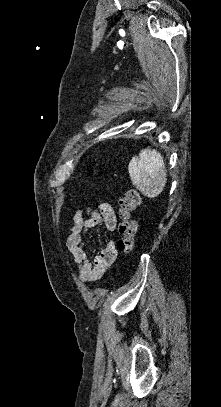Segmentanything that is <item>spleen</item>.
I'll return each instance as SVG.
<instances>
[{
  "mask_svg": "<svg viewBox=\"0 0 221 407\" xmlns=\"http://www.w3.org/2000/svg\"><path fill=\"white\" fill-rule=\"evenodd\" d=\"M128 172L133 185L149 198L161 194L167 182L164 159L155 149L141 150L131 159Z\"/></svg>",
  "mask_w": 221,
  "mask_h": 407,
  "instance_id": "3e777b00",
  "label": "spleen"
}]
</instances>
